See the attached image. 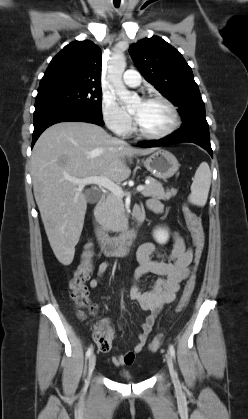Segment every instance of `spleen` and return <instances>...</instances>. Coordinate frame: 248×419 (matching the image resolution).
Instances as JSON below:
<instances>
[{
  "label": "spleen",
  "mask_w": 248,
  "mask_h": 419,
  "mask_svg": "<svg viewBox=\"0 0 248 419\" xmlns=\"http://www.w3.org/2000/svg\"><path fill=\"white\" fill-rule=\"evenodd\" d=\"M211 184V171L207 162H202L196 170L191 185V194L188 197L190 203L197 206H205Z\"/></svg>",
  "instance_id": "obj_1"
}]
</instances>
